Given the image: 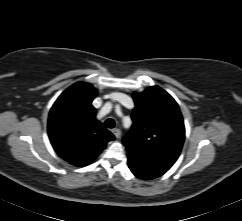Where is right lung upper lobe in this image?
Wrapping results in <instances>:
<instances>
[{
    "label": "right lung upper lobe",
    "instance_id": "obj_1",
    "mask_svg": "<svg viewBox=\"0 0 242 221\" xmlns=\"http://www.w3.org/2000/svg\"><path fill=\"white\" fill-rule=\"evenodd\" d=\"M96 89L77 82L66 89L52 106L48 134L55 151L72 165L83 167L92 162L114 135L96 120L92 101Z\"/></svg>",
    "mask_w": 242,
    "mask_h": 221
}]
</instances>
